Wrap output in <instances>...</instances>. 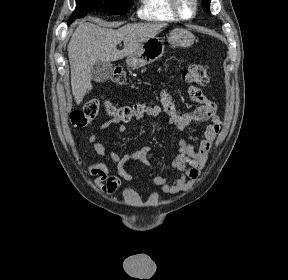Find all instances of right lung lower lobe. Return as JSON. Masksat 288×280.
<instances>
[{
    "label": "right lung lower lobe",
    "mask_w": 288,
    "mask_h": 280,
    "mask_svg": "<svg viewBox=\"0 0 288 280\" xmlns=\"http://www.w3.org/2000/svg\"><path fill=\"white\" fill-rule=\"evenodd\" d=\"M73 21H69L68 24H71Z\"/></svg>",
    "instance_id": "right-lung-lower-lobe-1"
}]
</instances>
